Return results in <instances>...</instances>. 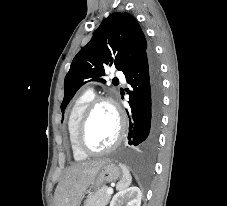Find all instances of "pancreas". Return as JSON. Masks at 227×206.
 Returning a JSON list of instances; mask_svg holds the SVG:
<instances>
[{
    "mask_svg": "<svg viewBox=\"0 0 227 206\" xmlns=\"http://www.w3.org/2000/svg\"><path fill=\"white\" fill-rule=\"evenodd\" d=\"M107 190V186H102L91 193L85 200L84 206H106L111 198V194H108Z\"/></svg>",
    "mask_w": 227,
    "mask_h": 206,
    "instance_id": "pancreas-1",
    "label": "pancreas"
}]
</instances>
